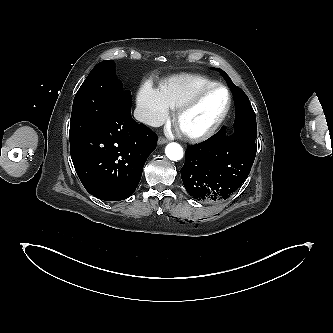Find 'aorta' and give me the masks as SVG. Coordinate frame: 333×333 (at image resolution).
<instances>
[{"label": "aorta", "instance_id": "1", "mask_svg": "<svg viewBox=\"0 0 333 333\" xmlns=\"http://www.w3.org/2000/svg\"><path fill=\"white\" fill-rule=\"evenodd\" d=\"M165 154L170 160L179 161L183 158V149L178 143L172 142L166 146Z\"/></svg>", "mask_w": 333, "mask_h": 333}]
</instances>
